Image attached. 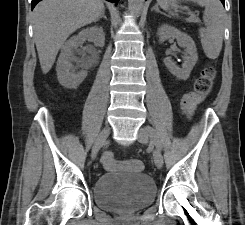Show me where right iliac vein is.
<instances>
[{"label":"right iliac vein","instance_id":"1","mask_svg":"<svg viewBox=\"0 0 245 225\" xmlns=\"http://www.w3.org/2000/svg\"><path fill=\"white\" fill-rule=\"evenodd\" d=\"M110 134L109 128H104L101 133L99 134L93 148H92V157L94 158L97 154V152L100 150L101 147H103L105 144H107V140Z\"/></svg>","mask_w":245,"mask_h":225}]
</instances>
